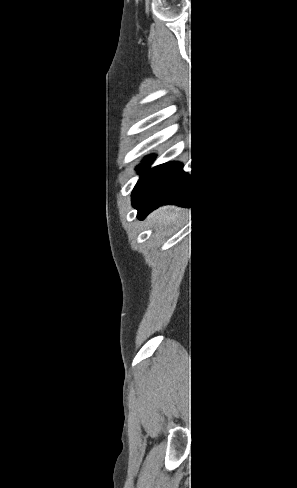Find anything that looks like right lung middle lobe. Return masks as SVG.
I'll use <instances>...</instances> for the list:
<instances>
[{"label":"right lung middle lobe","mask_w":297,"mask_h":488,"mask_svg":"<svg viewBox=\"0 0 297 488\" xmlns=\"http://www.w3.org/2000/svg\"><path fill=\"white\" fill-rule=\"evenodd\" d=\"M155 158V155H150L148 157H146V159L143 161V163L137 167L138 170H142L141 173V178L140 180L143 178V176L147 173L146 169H147V165ZM139 180V181H140ZM138 181V183H139Z\"/></svg>","instance_id":"right-lung-middle-lobe-1"}]
</instances>
